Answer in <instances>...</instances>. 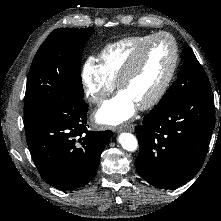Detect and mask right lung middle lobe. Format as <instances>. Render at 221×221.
<instances>
[{
  "instance_id": "obj_1",
  "label": "right lung middle lobe",
  "mask_w": 221,
  "mask_h": 221,
  "mask_svg": "<svg viewBox=\"0 0 221 221\" xmlns=\"http://www.w3.org/2000/svg\"><path fill=\"white\" fill-rule=\"evenodd\" d=\"M94 28L54 30L38 49L28 75L24 121L65 97L83 99L82 52Z\"/></svg>"
}]
</instances>
